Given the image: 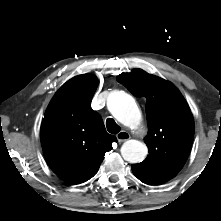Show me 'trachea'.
I'll list each match as a JSON object with an SVG mask.
<instances>
[{
	"label": "trachea",
	"mask_w": 221,
	"mask_h": 221,
	"mask_svg": "<svg viewBox=\"0 0 221 221\" xmlns=\"http://www.w3.org/2000/svg\"><path fill=\"white\" fill-rule=\"evenodd\" d=\"M106 127L108 132L111 134H117L120 131V127L112 118H108L106 120Z\"/></svg>",
	"instance_id": "obj_1"
}]
</instances>
